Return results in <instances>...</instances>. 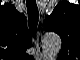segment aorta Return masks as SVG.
I'll list each match as a JSON object with an SVG mask.
<instances>
[{
	"mask_svg": "<svg viewBox=\"0 0 80 60\" xmlns=\"http://www.w3.org/2000/svg\"><path fill=\"white\" fill-rule=\"evenodd\" d=\"M45 44L48 52L58 53L61 49V39L57 34H49L45 36Z\"/></svg>",
	"mask_w": 80,
	"mask_h": 60,
	"instance_id": "obj_1",
	"label": "aorta"
}]
</instances>
